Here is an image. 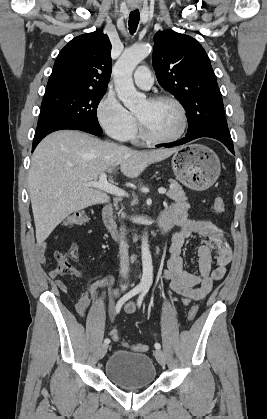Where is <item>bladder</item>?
<instances>
[{"mask_svg": "<svg viewBox=\"0 0 267 419\" xmlns=\"http://www.w3.org/2000/svg\"><path fill=\"white\" fill-rule=\"evenodd\" d=\"M104 372L115 385L122 388H142L153 384L157 377L155 364L144 353L114 351L106 361Z\"/></svg>", "mask_w": 267, "mask_h": 419, "instance_id": "31cf9c89", "label": "bladder"}]
</instances>
